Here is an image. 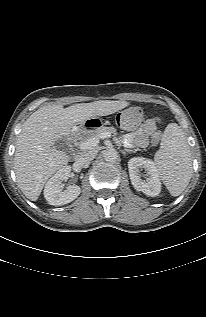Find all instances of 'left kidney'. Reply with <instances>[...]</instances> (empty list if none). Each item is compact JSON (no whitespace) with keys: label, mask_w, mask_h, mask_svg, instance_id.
<instances>
[{"label":"left kidney","mask_w":206,"mask_h":317,"mask_svg":"<svg viewBox=\"0 0 206 317\" xmlns=\"http://www.w3.org/2000/svg\"><path fill=\"white\" fill-rule=\"evenodd\" d=\"M128 168L131 183L137 191H141L151 197L159 195L161 182L153 161L143 157H134L128 161ZM141 169L146 171V180L141 178Z\"/></svg>","instance_id":"5707ae66"}]
</instances>
